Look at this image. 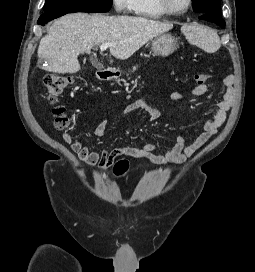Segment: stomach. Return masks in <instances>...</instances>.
<instances>
[{
    "label": "stomach",
    "mask_w": 255,
    "mask_h": 272,
    "mask_svg": "<svg viewBox=\"0 0 255 272\" xmlns=\"http://www.w3.org/2000/svg\"><path fill=\"white\" fill-rule=\"evenodd\" d=\"M177 47V39L169 33H162L156 36L151 45L154 55L161 57L171 55L177 49Z\"/></svg>",
    "instance_id": "obj_1"
}]
</instances>
